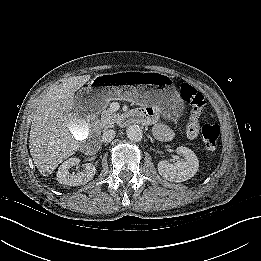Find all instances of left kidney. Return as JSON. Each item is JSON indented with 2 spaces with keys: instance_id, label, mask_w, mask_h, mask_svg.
Masks as SVG:
<instances>
[{
  "instance_id": "1",
  "label": "left kidney",
  "mask_w": 261,
  "mask_h": 261,
  "mask_svg": "<svg viewBox=\"0 0 261 261\" xmlns=\"http://www.w3.org/2000/svg\"><path fill=\"white\" fill-rule=\"evenodd\" d=\"M177 153L185 157V161H177L172 164L167 160L158 163L159 174L171 182H183L191 179L198 171L199 161L196 154L187 147H177Z\"/></svg>"
}]
</instances>
